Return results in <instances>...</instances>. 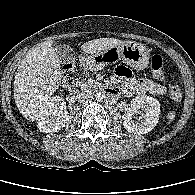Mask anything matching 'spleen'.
I'll list each match as a JSON object with an SVG mask.
<instances>
[{
  "mask_svg": "<svg viewBox=\"0 0 195 195\" xmlns=\"http://www.w3.org/2000/svg\"><path fill=\"white\" fill-rule=\"evenodd\" d=\"M174 118H175V111L169 112L167 114V119L169 122H172L174 120Z\"/></svg>",
  "mask_w": 195,
  "mask_h": 195,
  "instance_id": "obj_1",
  "label": "spleen"
}]
</instances>
